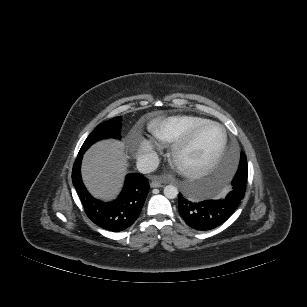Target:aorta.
Masks as SVG:
<instances>
[{"mask_svg":"<svg viewBox=\"0 0 307 307\" xmlns=\"http://www.w3.org/2000/svg\"><path fill=\"white\" fill-rule=\"evenodd\" d=\"M164 195L168 199H175L178 196V190L173 185H167L164 188Z\"/></svg>","mask_w":307,"mask_h":307,"instance_id":"obj_1","label":"aorta"}]
</instances>
